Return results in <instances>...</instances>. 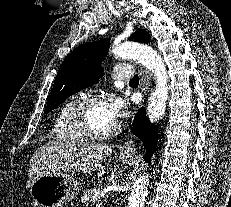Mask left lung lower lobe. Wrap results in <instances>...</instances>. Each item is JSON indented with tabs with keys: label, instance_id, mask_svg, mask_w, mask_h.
<instances>
[{
	"label": "left lung lower lobe",
	"instance_id": "0a47b994",
	"mask_svg": "<svg viewBox=\"0 0 231 207\" xmlns=\"http://www.w3.org/2000/svg\"><path fill=\"white\" fill-rule=\"evenodd\" d=\"M132 132L143 142L146 149L144 160L145 162H149L157 144L158 130L155 125L147 119L145 109L142 108L137 112L133 122Z\"/></svg>",
	"mask_w": 231,
	"mask_h": 207
}]
</instances>
